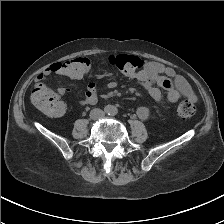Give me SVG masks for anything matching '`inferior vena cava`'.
<instances>
[{"label":"inferior vena cava","mask_w":224,"mask_h":224,"mask_svg":"<svg viewBox=\"0 0 224 224\" xmlns=\"http://www.w3.org/2000/svg\"><path fill=\"white\" fill-rule=\"evenodd\" d=\"M104 115H105L104 111L99 108H95L90 111V118L92 119L102 118L104 117Z\"/></svg>","instance_id":"obj_1"}]
</instances>
